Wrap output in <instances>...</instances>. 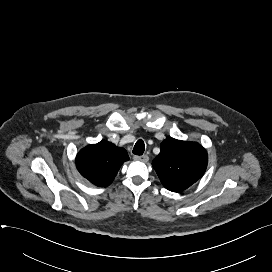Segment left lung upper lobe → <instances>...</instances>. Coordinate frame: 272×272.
<instances>
[{
	"label": "left lung upper lobe",
	"mask_w": 272,
	"mask_h": 272,
	"mask_svg": "<svg viewBox=\"0 0 272 272\" xmlns=\"http://www.w3.org/2000/svg\"><path fill=\"white\" fill-rule=\"evenodd\" d=\"M207 162V152L200 144L167 138L152 166L166 189L181 192L203 176Z\"/></svg>",
	"instance_id": "5c2ea615"
}]
</instances>
